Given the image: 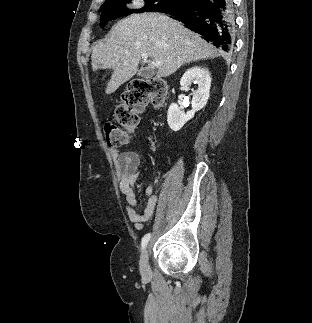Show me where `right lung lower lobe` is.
I'll return each mask as SVG.
<instances>
[{
    "label": "right lung lower lobe",
    "instance_id": "1",
    "mask_svg": "<svg viewBox=\"0 0 312 323\" xmlns=\"http://www.w3.org/2000/svg\"><path fill=\"white\" fill-rule=\"evenodd\" d=\"M231 0H182L161 12L225 52L233 50L235 19Z\"/></svg>",
    "mask_w": 312,
    "mask_h": 323
}]
</instances>
